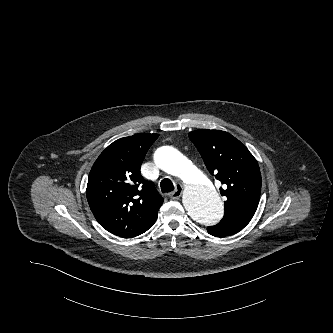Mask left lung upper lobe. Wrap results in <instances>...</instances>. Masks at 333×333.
Masks as SVG:
<instances>
[{
  "mask_svg": "<svg viewBox=\"0 0 333 333\" xmlns=\"http://www.w3.org/2000/svg\"><path fill=\"white\" fill-rule=\"evenodd\" d=\"M208 171L221 181L226 201L221 223L245 227L258 207L261 192L259 165L249 150L231 134L201 129L189 133Z\"/></svg>",
  "mask_w": 333,
  "mask_h": 333,
  "instance_id": "obj_1",
  "label": "left lung upper lobe"
}]
</instances>
